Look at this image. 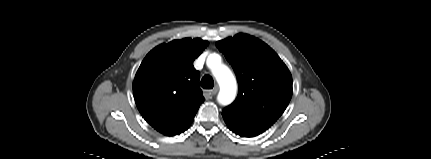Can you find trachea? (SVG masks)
<instances>
[{"label": "trachea", "instance_id": "obj_1", "mask_svg": "<svg viewBox=\"0 0 431 159\" xmlns=\"http://www.w3.org/2000/svg\"><path fill=\"white\" fill-rule=\"evenodd\" d=\"M200 84H201V87H203L204 89H212L214 87V81L210 75L203 76Z\"/></svg>", "mask_w": 431, "mask_h": 159}]
</instances>
